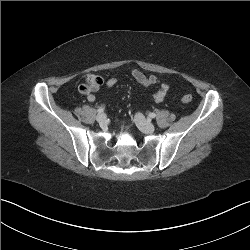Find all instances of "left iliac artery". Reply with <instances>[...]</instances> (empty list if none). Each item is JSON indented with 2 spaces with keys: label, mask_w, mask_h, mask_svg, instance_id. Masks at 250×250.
<instances>
[{
  "label": "left iliac artery",
  "mask_w": 250,
  "mask_h": 250,
  "mask_svg": "<svg viewBox=\"0 0 250 250\" xmlns=\"http://www.w3.org/2000/svg\"><path fill=\"white\" fill-rule=\"evenodd\" d=\"M149 117H150V118H155V117H156V114H155V113H150V114H149Z\"/></svg>",
  "instance_id": "1"
}]
</instances>
